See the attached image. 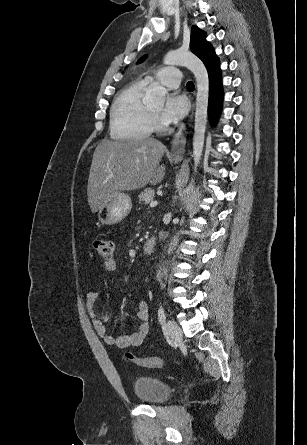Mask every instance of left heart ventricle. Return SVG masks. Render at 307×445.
Listing matches in <instances>:
<instances>
[{
	"instance_id": "obj_1",
	"label": "left heart ventricle",
	"mask_w": 307,
	"mask_h": 445,
	"mask_svg": "<svg viewBox=\"0 0 307 445\" xmlns=\"http://www.w3.org/2000/svg\"><path fill=\"white\" fill-rule=\"evenodd\" d=\"M163 104V100H157L153 105H151V110L155 113V114H160L161 112V107Z\"/></svg>"
}]
</instances>
